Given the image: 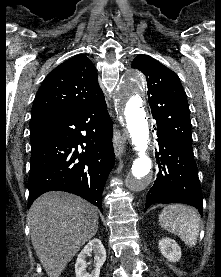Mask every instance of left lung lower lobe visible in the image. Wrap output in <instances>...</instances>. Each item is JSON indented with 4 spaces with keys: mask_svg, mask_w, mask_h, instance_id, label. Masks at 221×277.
<instances>
[{
    "mask_svg": "<svg viewBox=\"0 0 221 277\" xmlns=\"http://www.w3.org/2000/svg\"><path fill=\"white\" fill-rule=\"evenodd\" d=\"M159 171L146 196V211L153 203H185L202 215V192L193 150L157 124Z\"/></svg>",
    "mask_w": 221,
    "mask_h": 277,
    "instance_id": "0a47b994",
    "label": "left lung lower lobe"
}]
</instances>
